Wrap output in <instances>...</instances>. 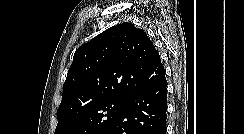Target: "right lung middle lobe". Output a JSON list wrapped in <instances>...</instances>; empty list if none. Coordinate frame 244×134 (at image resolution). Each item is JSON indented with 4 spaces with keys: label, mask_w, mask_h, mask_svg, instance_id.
Wrapping results in <instances>:
<instances>
[{
    "label": "right lung middle lobe",
    "mask_w": 244,
    "mask_h": 134,
    "mask_svg": "<svg viewBox=\"0 0 244 134\" xmlns=\"http://www.w3.org/2000/svg\"><path fill=\"white\" fill-rule=\"evenodd\" d=\"M125 101L113 98L89 105L74 116L58 120L55 134H103L116 120Z\"/></svg>",
    "instance_id": "dd1d6c3e"
}]
</instances>
